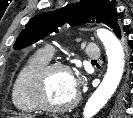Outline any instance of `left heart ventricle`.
Listing matches in <instances>:
<instances>
[{"instance_id": "left-heart-ventricle-1", "label": "left heart ventricle", "mask_w": 133, "mask_h": 118, "mask_svg": "<svg viewBox=\"0 0 133 118\" xmlns=\"http://www.w3.org/2000/svg\"><path fill=\"white\" fill-rule=\"evenodd\" d=\"M76 93L71 87V73L55 70L47 78L45 85L46 100L56 106L70 102Z\"/></svg>"}]
</instances>
